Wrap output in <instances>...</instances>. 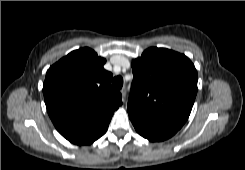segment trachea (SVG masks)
<instances>
[{"mask_svg": "<svg viewBox=\"0 0 245 170\" xmlns=\"http://www.w3.org/2000/svg\"><path fill=\"white\" fill-rule=\"evenodd\" d=\"M112 84L117 90L121 89L123 86V78L121 76L114 77L112 80Z\"/></svg>", "mask_w": 245, "mask_h": 170, "instance_id": "obj_1", "label": "trachea"}]
</instances>
